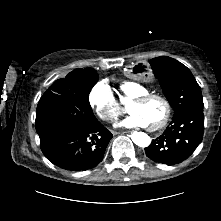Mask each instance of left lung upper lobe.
I'll list each match as a JSON object with an SVG mask.
<instances>
[{
	"mask_svg": "<svg viewBox=\"0 0 221 221\" xmlns=\"http://www.w3.org/2000/svg\"><path fill=\"white\" fill-rule=\"evenodd\" d=\"M149 62L170 105L174 108L175 116L189 109L203 107L201 88L185 65L166 56L154 58ZM174 149L175 144L172 142L167 147V154L172 156Z\"/></svg>",
	"mask_w": 221,
	"mask_h": 221,
	"instance_id": "obj_1",
	"label": "left lung upper lobe"
}]
</instances>
